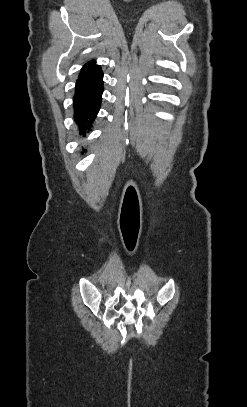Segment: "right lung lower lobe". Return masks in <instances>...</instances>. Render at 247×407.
<instances>
[{
    "mask_svg": "<svg viewBox=\"0 0 247 407\" xmlns=\"http://www.w3.org/2000/svg\"><path fill=\"white\" fill-rule=\"evenodd\" d=\"M103 93V72L96 61L86 63L76 82L73 100L74 119L80 133L91 129L101 105Z\"/></svg>",
    "mask_w": 247,
    "mask_h": 407,
    "instance_id": "1",
    "label": "right lung lower lobe"
}]
</instances>
